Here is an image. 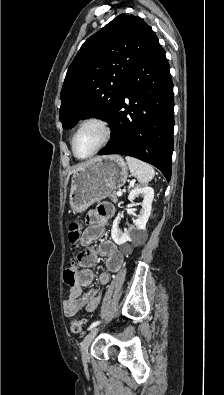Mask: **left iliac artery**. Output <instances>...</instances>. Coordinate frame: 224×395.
I'll return each mask as SVG.
<instances>
[{
  "label": "left iliac artery",
  "mask_w": 224,
  "mask_h": 395,
  "mask_svg": "<svg viewBox=\"0 0 224 395\" xmlns=\"http://www.w3.org/2000/svg\"><path fill=\"white\" fill-rule=\"evenodd\" d=\"M99 324H100V321H95V322H93V323L89 326L88 330H92L94 327H96V326L99 325Z\"/></svg>",
  "instance_id": "obj_1"
}]
</instances>
